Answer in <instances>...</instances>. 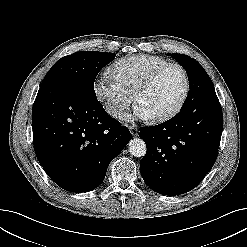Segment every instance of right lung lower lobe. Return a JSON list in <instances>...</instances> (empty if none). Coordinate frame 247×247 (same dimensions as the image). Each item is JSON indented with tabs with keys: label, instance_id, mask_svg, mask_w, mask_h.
I'll return each instance as SVG.
<instances>
[{
	"label": "right lung lower lobe",
	"instance_id": "1",
	"mask_svg": "<svg viewBox=\"0 0 247 247\" xmlns=\"http://www.w3.org/2000/svg\"><path fill=\"white\" fill-rule=\"evenodd\" d=\"M34 150L47 175L62 189L99 186L109 163L132 136L77 81L40 87L32 109Z\"/></svg>",
	"mask_w": 247,
	"mask_h": 247
}]
</instances>
